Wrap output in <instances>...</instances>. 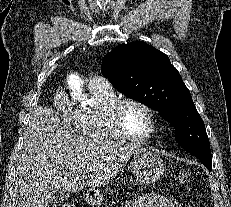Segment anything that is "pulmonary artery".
Listing matches in <instances>:
<instances>
[{
  "label": "pulmonary artery",
  "instance_id": "obj_1",
  "mask_svg": "<svg viewBox=\"0 0 231 207\" xmlns=\"http://www.w3.org/2000/svg\"><path fill=\"white\" fill-rule=\"evenodd\" d=\"M89 87L90 88L110 89L111 84L106 78H104L102 76H94L89 81Z\"/></svg>",
  "mask_w": 231,
  "mask_h": 207
}]
</instances>
